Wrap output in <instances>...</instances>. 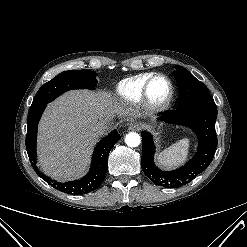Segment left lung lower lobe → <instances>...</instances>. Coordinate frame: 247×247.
I'll use <instances>...</instances> for the list:
<instances>
[{
  "label": "left lung lower lobe",
  "instance_id": "left-lung-lower-lobe-1",
  "mask_svg": "<svg viewBox=\"0 0 247 247\" xmlns=\"http://www.w3.org/2000/svg\"><path fill=\"white\" fill-rule=\"evenodd\" d=\"M217 107L214 100L200 101L164 112L159 120L191 128L198 137V150L195 156L183 167L165 172L154 164L155 146L152 136L142 132L141 167L143 172L156 185L176 188L189 183L202 173L213 159L217 146L215 122Z\"/></svg>",
  "mask_w": 247,
  "mask_h": 247
}]
</instances>
